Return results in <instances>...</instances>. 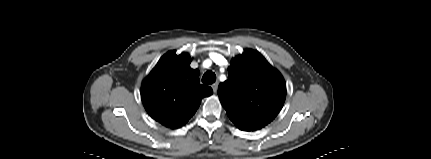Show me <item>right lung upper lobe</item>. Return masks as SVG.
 <instances>
[{"mask_svg": "<svg viewBox=\"0 0 431 159\" xmlns=\"http://www.w3.org/2000/svg\"><path fill=\"white\" fill-rule=\"evenodd\" d=\"M187 53H166L142 83L141 99L148 114L168 128H179L197 111L201 99L213 93L199 83V71Z\"/></svg>", "mask_w": 431, "mask_h": 159, "instance_id": "right-lung-upper-lobe-1", "label": "right lung upper lobe"}]
</instances>
